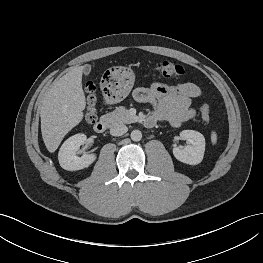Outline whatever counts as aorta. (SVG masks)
<instances>
[{"label":"aorta","instance_id":"aorta-1","mask_svg":"<svg viewBox=\"0 0 263 263\" xmlns=\"http://www.w3.org/2000/svg\"><path fill=\"white\" fill-rule=\"evenodd\" d=\"M131 139L133 140V141H135V142H137V141H140L141 140V138H142V133H141V131H139V130H133L132 132H131Z\"/></svg>","mask_w":263,"mask_h":263}]
</instances>
